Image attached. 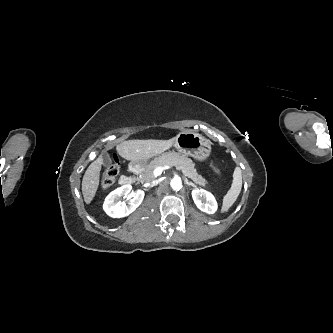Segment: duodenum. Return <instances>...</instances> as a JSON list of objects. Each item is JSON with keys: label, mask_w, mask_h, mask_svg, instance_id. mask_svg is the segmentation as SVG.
<instances>
[{"label": "duodenum", "mask_w": 333, "mask_h": 333, "mask_svg": "<svg viewBox=\"0 0 333 333\" xmlns=\"http://www.w3.org/2000/svg\"><path fill=\"white\" fill-rule=\"evenodd\" d=\"M138 171H139L138 167H133L130 175H124L120 178L121 184L122 185L132 184L135 181V176L138 173Z\"/></svg>", "instance_id": "1"}]
</instances>
